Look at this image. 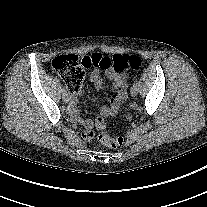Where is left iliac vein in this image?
Wrapping results in <instances>:
<instances>
[{
    "mask_svg": "<svg viewBox=\"0 0 207 207\" xmlns=\"http://www.w3.org/2000/svg\"><path fill=\"white\" fill-rule=\"evenodd\" d=\"M130 93H131L132 96H136L138 94V87H137V85L131 87Z\"/></svg>",
    "mask_w": 207,
    "mask_h": 207,
    "instance_id": "1",
    "label": "left iliac vein"
}]
</instances>
